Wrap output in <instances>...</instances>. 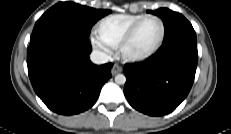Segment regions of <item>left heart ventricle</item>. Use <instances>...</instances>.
<instances>
[{
  "mask_svg": "<svg viewBox=\"0 0 231 134\" xmlns=\"http://www.w3.org/2000/svg\"><path fill=\"white\" fill-rule=\"evenodd\" d=\"M161 24L157 19L145 20L126 48L129 55H142L152 50L159 41Z\"/></svg>",
  "mask_w": 231,
  "mask_h": 134,
  "instance_id": "1",
  "label": "left heart ventricle"
}]
</instances>
